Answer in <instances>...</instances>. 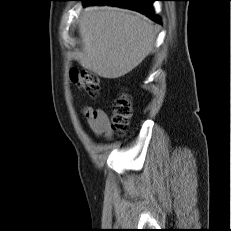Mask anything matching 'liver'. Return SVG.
I'll list each match as a JSON object with an SVG mask.
<instances>
[{
	"label": "liver",
	"mask_w": 231,
	"mask_h": 231,
	"mask_svg": "<svg viewBox=\"0 0 231 231\" xmlns=\"http://www.w3.org/2000/svg\"><path fill=\"white\" fill-rule=\"evenodd\" d=\"M77 61L100 77L115 79L137 67L154 48L155 28L144 15L111 6H90L78 21Z\"/></svg>",
	"instance_id": "liver-1"
}]
</instances>
